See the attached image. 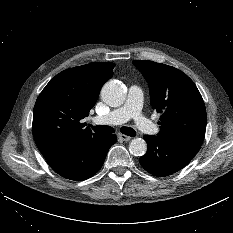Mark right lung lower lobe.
Listing matches in <instances>:
<instances>
[{
  "label": "right lung lower lobe",
  "mask_w": 233,
  "mask_h": 233,
  "mask_svg": "<svg viewBox=\"0 0 233 233\" xmlns=\"http://www.w3.org/2000/svg\"><path fill=\"white\" fill-rule=\"evenodd\" d=\"M116 140V135H98L68 152L46 160L60 176L82 181L93 176L102 167L109 148Z\"/></svg>",
  "instance_id": "obj_1"
}]
</instances>
